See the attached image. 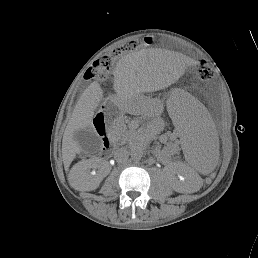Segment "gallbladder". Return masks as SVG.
<instances>
[{
    "mask_svg": "<svg viewBox=\"0 0 258 258\" xmlns=\"http://www.w3.org/2000/svg\"><path fill=\"white\" fill-rule=\"evenodd\" d=\"M74 140L78 142L84 152H94L100 147L101 141L91 126L80 129L74 134Z\"/></svg>",
    "mask_w": 258,
    "mask_h": 258,
    "instance_id": "bac80fb5",
    "label": "gallbladder"
}]
</instances>
